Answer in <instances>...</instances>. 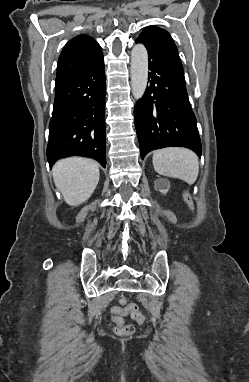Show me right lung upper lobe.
<instances>
[{
  "instance_id": "obj_1",
  "label": "right lung upper lobe",
  "mask_w": 249,
  "mask_h": 382,
  "mask_svg": "<svg viewBox=\"0 0 249 382\" xmlns=\"http://www.w3.org/2000/svg\"><path fill=\"white\" fill-rule=\"evenodd\" d=\"M101 54L100 45L88 35H79L68 41L58 60L55 90L94 64Z\"/></svg>"
}]
</instances>
